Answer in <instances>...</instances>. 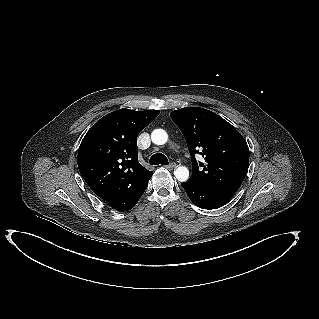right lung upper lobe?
<instances>
[{
    "label": "right lung upper lobe",
    "mask_w": 319,
    "mask_h": 319,
    "mask_svg": "<svg viewBox=\"0 0 319 319\" xmlns=\"http://www.w3.org/2000/svg\"><path fill=\"white\" fill-rule=\"evenodd\" d=\"M159 113L120 109L101 118L84 136L79 171L105 202L127 193L151 173L138 162L137 136Z\"/></svg>",
    "instance_id": "cb5924a9"
}]
</instances>
